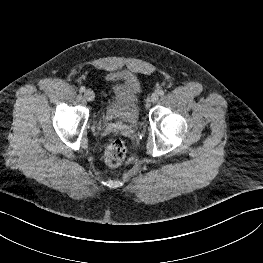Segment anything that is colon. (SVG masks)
I'll use <instances>...</instances> for the list:
<instances>
[{
    "label": "colon",
    "mask_w": 263,
    "mask_h": 263,
    "mask_svg": "<svg viewBox=\"0 0 263 263\" xmlns=\"http://www.w3.org/2000/svg\"><path fill=\"white\" fill-rule=\"evenodd\" d=\"M126 157V146L122 140L112 141L106 148L104 159L110 167L121 165Z\"/></svg>",
    "instance_id": "obj_1"
}]
</instances>
